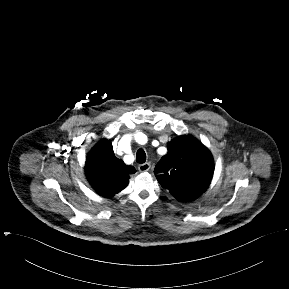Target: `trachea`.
<instances>
[{
  "instance_id": "1",
  "label": "trachea",
  "mask_w": 289,
  "mask_h": 289,
  "mask_svg": "<svg viewBox=\"0 0 289 289\" xmlns=\"http://www.w3.org/2000/svg\"><path fill=\"white\" fill-rule=\"evenodd\" d=\"M136 161L138 163H144L146 161V153L143 149H139L136 154Z\"/></svg>"
}]
</instances>
